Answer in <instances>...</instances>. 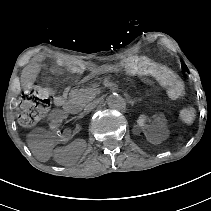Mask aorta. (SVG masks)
I'll use <instances>...</instances> for the list:
<instances>
[{
  "label": "aorta",
  "mask_w": 211,
  "mask_h": 211,
  "mask_svg": "<svg viewBox=\"0 0 211 211\" xmlns=\"http://www.w3.org/2000/svg\"><path fill=\"white\" fill-rule=\"evenodd\" d=\"M107 104L109 108L116 109V110L124 109L126 106L124 98L121 95L116 94V93L111 94L107 98Z\"/></svg>",
  "instance_id": "obj_1"
}]
</instances>
